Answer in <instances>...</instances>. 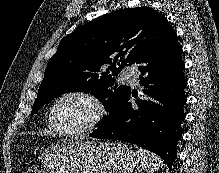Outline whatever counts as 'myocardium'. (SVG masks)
<instances>
[{"instance_id":"myocardium-1","label":"myocardium","mask_w":219,"mask_h":173,"mask_svg":"<svg viewBox=\"0 0 219 173\" xmlns=\"http://www.w3.org/2000/svg\"><path fill=\"white\" fill-rule=\"evenodd\" d=\"M69 97H79L85 99L87 102H89L92 105L94 109V113L91 119L81 128L73 131H64L60 129L58 124L56 123L54 114L57 105L61 101ZM106 115H107V108L104 102L96 94L88 90L76 89L61 94L53 101L49 109L48 121H49V125L51 126L52 130L56 133V135L66 138H74L88 134L93 130H95L103 122Z\"/></svg>"}]
</instances>
